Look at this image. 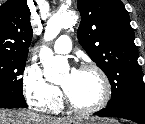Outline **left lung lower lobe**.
Listing matches in <instances>:
<instances>
[{
    "instance_id": "1",
    "label": "left lung lower lobe",
    "mask_w": 145,
    "mask_h": 124,
    "mask_svg": "<svg viewBox=\"0 0 145 124\" xmlns=\"http://www.w3.org/2000/svg\"><path fill=\"white\" fill-rule=\"evenodd\" d=\"M95 115L101 117H119L132 120L138 124H145V106L126 103L112 107H106Z\"/></svg>"
}]
</instances>
